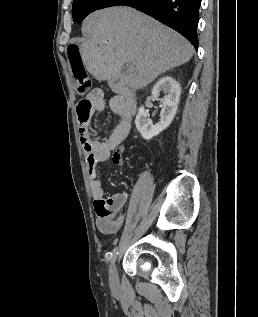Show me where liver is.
Wrapping results in <instances>:
<instances>
[{
    "instance_id": "liver-1",
    "label": "liver",
    "mask_w": 258,
    "mask_h": 317,
    "mask_svg": "<svg viewBox=\"0 0 258 317\" xmlns=\"http://www.w3.org/2000/svg\"><path fill=\"white\" fill-rule=\"evenodd\" d=\"M81 30L88 36L79 46L85 68L97 80H108L111 88L121 82L143 88L194 52L179 32L131 6L95 10L84 18ZM125 62H131L129 74H121Z\"/></svg>"
}]
</instances>
